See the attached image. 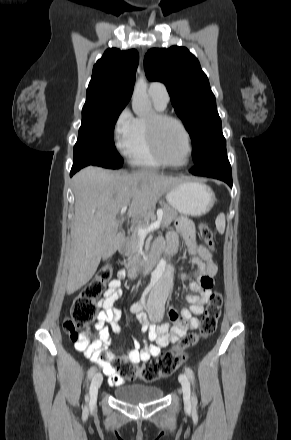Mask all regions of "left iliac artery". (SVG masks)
<instances>
[{"label":"left iliac artery","instance_id":"1","mask_svg":"<svg viewBox=\"0 0 291 440\" xmlns=\"http://www.w3.org/2000/svg\"><path fill=\"white\" fill-rule=\"evenodd\" d=\"M185 373L187 374V376L189 377V379L192 381L193 379H194V372H193V370L190 368V367H186L185 368ZM197 397H196V395L194 394L193 395V397H192V403H193V405L195 406L196 404H197Z\"/></svg>","mask_w":291,"mask_h":440}]
</instances>
